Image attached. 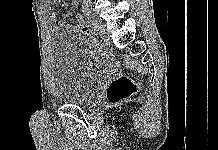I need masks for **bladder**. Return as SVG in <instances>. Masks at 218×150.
Instances as JSON below:
<instances>
[{
    "instance_id": "obj_1",
    "label": "bladder",
    "mask_w": 218,
    "mask_h": 150,
    "mask_svg": "<svg viewBox=\"0 0 218 150\" xmlns=\"http://www.w3.org/2000/svg\"><path fill=\"white\" fill-rule=\"evenodd\" d=\"M53 52L52 92L64 105H82L92 99L112 70L111 62L99 49L73 32H58Z\"/></svg>"
}]
</instances>
